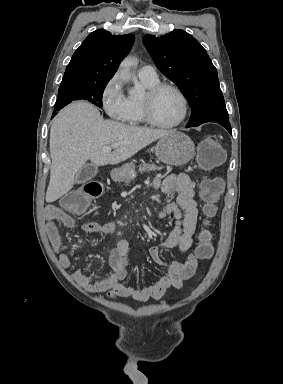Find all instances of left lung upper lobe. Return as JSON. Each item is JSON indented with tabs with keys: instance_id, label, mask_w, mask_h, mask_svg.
Wrapping results in <instances>:
<instances>
[{
	"instance_id": "obj_1",
	"label": "left lung upper lobe",
	"mask_w": 283,
	"mask_h": 384,
	"mask_svg": "<svg viewBox=\"0 0 283 384\" xmlns=\"http://www.w3.org/2000/svg\"><path fill=\"white\" fill-rule=\"evenodd\" d=\"M143 42L157 68L187 98L192 113L186 127L228 121L217 70L206 50L193 36L176 29L162 37L145 35Z\"/></svg>"
}]
</instances>
